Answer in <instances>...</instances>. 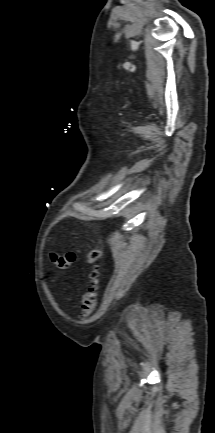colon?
Returning a JSON list of instances; mask_svg holds the SVG:
<instances>
[{
	"label": "colon",
	"mask_w": 215,
	"mask_h": 433,
	"mask_svg": "<svg viewBox=\"0 0 215 433\" xmlns=\"http://www.w3.org/2000/svg\"><path fill=\"white\" fill-rule=\"evenodd\" d=\"M52 263L60 270L69 269L75 261L74 253H64L59 254L52 252L51 255ZM101 258L100 250H92L87 255V262L91 266V270L89 272V282L88 285L83 292L81 299V314L80 317L85 319L91 315L93 312L97 297H98V289H99V272H98V262Z\"/></svg>",
	"instance_id": "colon-1"
}]
</instances>
